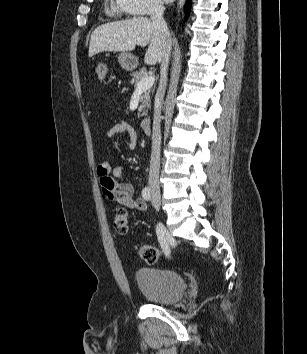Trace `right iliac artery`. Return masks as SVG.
I'll return each instance as SVG.
<instances>
[{
  "mask_svg": "<svg viewBox=\"0 0 307 354\" xmlns=\"http://www.w3.org/2000/svg\"><path fill=\"white\" fill-rule=\"evenodd\" d=\"M142 197L147 201L150 200V189L148 187H145L142 190ZM156 233H157L158 241L161 245V248L163 249L166 256H169L170 255V248H169V245H168L166 238H165L164 227L161 224L157 225Z\"/></svg>",
  "mask_w": 307,
  "mask_h": 354,
  "instance_id": "right-iliac-artery-1",
  "label": "right iliac artery"
}]
</instances>
